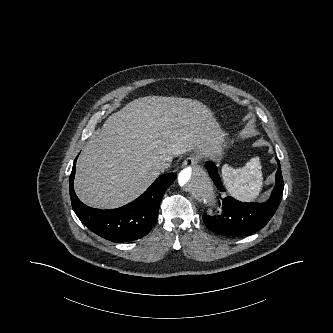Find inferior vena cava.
<instances>
[{"label":"inferior vena cava","mask_w":333,"mask_h":333,"mask_svg":"<svg viewBox=\"0 0 333 333\" xmlns=\"http://www.w3.org/2000/svg\"><path fill=\"white\" fill-rule=\"evenodd\" d=\"M157 168L160 170V171H164L165 169H167L170 165L168 162L166 161H160L156 164Z\"/></svg>","instance_id":"inferior-vena-cava-1"}]
</instances>
